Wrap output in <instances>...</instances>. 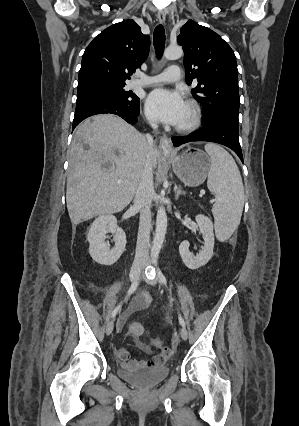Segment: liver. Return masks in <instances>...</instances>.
I'll list each match as a JSON object with an SVG mask.
<instances>
[{
	"label": "liver",
	"mask_w": 299,
	"mask_h": 426,
	"mask_svg": "<svg viewBox=\"0 0 299 426\" xmlns=\"http://www.w3.org/2000/svg\"><path fill=\"white\" fill-rule=\"evenodd\" d=\"M147 152L145 137L118 116L96 115L82 122L68 158L66 203L72 224L125 209L136 193ZM157 158L153 148V168Z\"/></svg>",
	"instance_id": "obj_1"
}]
</instances>
